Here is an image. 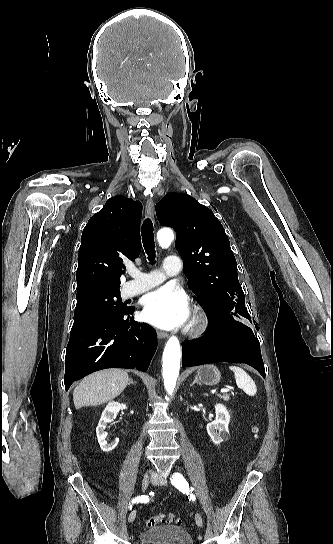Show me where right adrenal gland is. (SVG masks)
<instances>
[{"mask_svg":"<svg viewBox=\"0 0 333 544\" xmlns=\"http://www.w3.org/2000/svg\"><path fill=\"white\" fill-rule=\"evenodd\" d=\"M130 384H134V385H135V384H136V382H134V381L132 380V378H130V379H129V383H128V385H130Z\"/></svg>","mask_w":333,"mask_h":544,"instance_id":"2a0ac1e0","label":"right adrenal gland"}]
</instances>
